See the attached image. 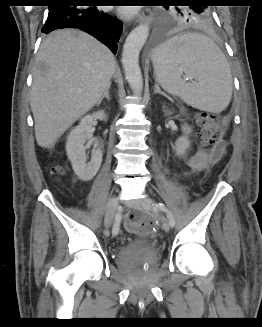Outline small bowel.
Segmentation results:
<instances>
[{"label": "small bowel", "instance_id": "obj_1", "mask_svg": "<svg viewBox=\"0 0 262 327\" xmlns=\"http://www.w3.org/2000/svg\"><path fill=\"white\" fill-rule=\"evenodd\" d=\"M186 163L194 172H202L208 168L210 160L205 152L196 151L187 158Z\"/></svg>", "mask_w": 262, "mask_h": 327}]
</instances>
